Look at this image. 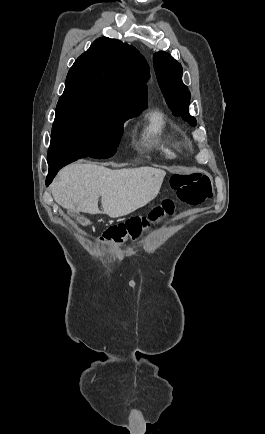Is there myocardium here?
I'll return each instance as SVG.
<instances>
[{"mask_svg": "<svg viewBox=\"0 0 265 434\" xmlns=\"http://www.w3.org/2000/svg\"><path fill=\"white\" fill-rule=\"evenodd\" d=\"M188 149L193 150L194 146L192 144L187 145Z\"/></svg>", "mask_w": 265, "mask_h": 434, "instance_id": "myocardium-1", "label": "myocardium"}]
</instances>
